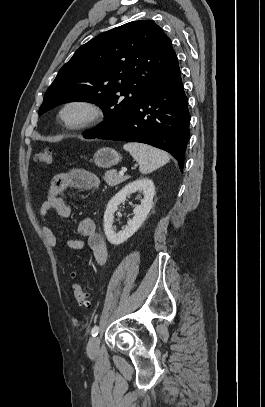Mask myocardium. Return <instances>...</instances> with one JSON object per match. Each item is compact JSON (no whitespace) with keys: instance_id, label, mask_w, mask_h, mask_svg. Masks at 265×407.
<instances>
[{"instance_id":"myocardium-1","label":"myocardium","mask_w":265,"mask_h":407,"mask_svg":"<svg viewBox=\"0 0 265 407\" xmlns=\"http://www.w3.org/2000/svg\"><path fill=\"white\" fill-rule=\"evenodd\" d=\"M72 109L81 111V116L76 119L68 117ZM59 124L68 131H83L101 124L106 112L101 104L88 98H71L64 101L57 110Z\"/></svg>"}]
</instances>
